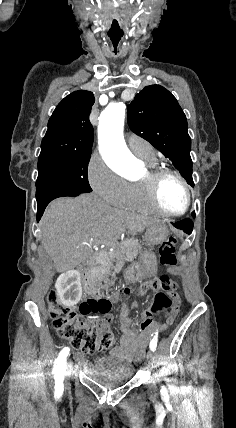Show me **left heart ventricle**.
Segmentation results:
<instances>
[{
	"label": "left heart ventricle",
	"instance_id": "obj_1",
	"mask_svg": "<svg viewBox=\"0 0 236 428\" xmlns=\"http://www.w3.org/2000/svg\"><path fill=\"white\" fill-rule=\"evenodd\" d=\"M160 194L164 205L170 210H182L186 204V193L180 182L173 178L163 181Z\"/></svg>",
	"mask_w": 236,
	"mask_h": 428
}]
</instances>
